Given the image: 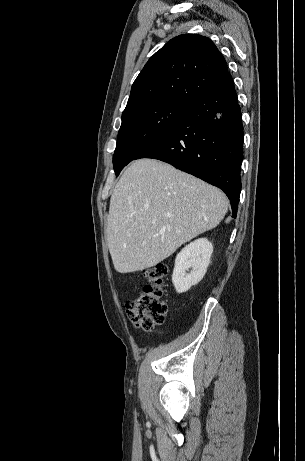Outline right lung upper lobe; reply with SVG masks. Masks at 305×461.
<instances>
[{
    "label": "right lung upper lobe",
    "mask_w": 305,
    "mask_h": 461,
    "mask_svg": "<svg viewBox=\"0 0 305 461\" xmlns=\"http://www.w3.org/2000/svg\"><path fill=\"white\" fill-rule=\"evenodd\" d=\"M231 79L223 55L209 38L177 36L146 63L122 116L162 102L191 104Z\"/></svg>",
    "instance_id": "obj_1"
}]
</instances>
